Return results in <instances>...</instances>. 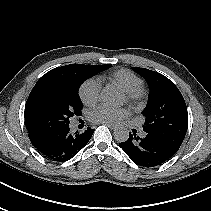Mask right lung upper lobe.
I'll return each mask as SVG.
<instances>
[{
  "mask_svg": "<svg viewBox=\"0 0 211 211\" xmlns=\"http://www.w3.org/2000/svg\"><path fill=\"white\" fill-rule=\"evenodd\" d=\"M96 66V65H95ZM87 65L83 64H70L62 67H57L46 74H44L35 84L32 90H35L41 86L45 85H58L66 83L72 80L76 75H78L82 70H84Z\"/></svg>",
  "mask_w": 211,
  "mask_h": 211,
  "instance_id": "cb5924a9",
  "label": "right lung upper lobe"
}]
</instances>
